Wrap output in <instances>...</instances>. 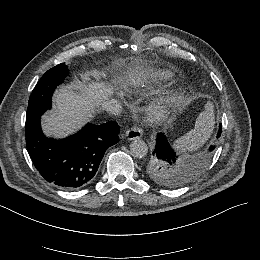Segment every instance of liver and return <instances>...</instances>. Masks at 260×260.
Wrapping results in <instances>:
<instances>
[{
	"mask_svg": "<svg viewBox=\"0 0 260 260\" xmlns=\"http://www.w3.org/2000/svg\"><path fill=\"white\" fill-rule=\"evenodd\" d=\"M82 82L76 80L61 85L53 95V111L46 112L41 119L46 136L64 138L73 134L94 118L95 108L109 100L114 93L111 84L92 82L86 85L87 73L80 75Z\"/></svg>",
	"mask_w": 260,
	"mask_h": 260,
	"instance_id": "obj_1",
	"label": "liver"
}]
</instances>
